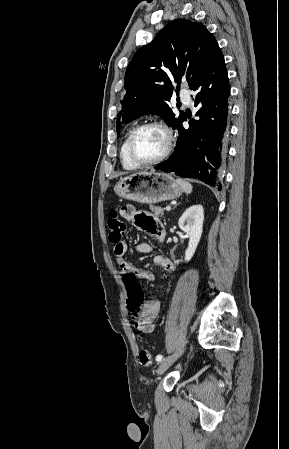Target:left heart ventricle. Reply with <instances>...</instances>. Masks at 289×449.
<instances>
[{"label": "left heart ventricle", "instance_id": "1", "mask_svg": "<svg viewBox=\"0 0 289 449\" xmlns=\"http://www.w3.org/2000/svg\"><path fill=\"white\" fill-rule=\"evenodd\" d=\"M165 144V135L159 128H145L135 138V156L140 161H151L162 154Z\"/></svg>", "mask_w": 289, "mask_h": 449}]
</instances>
